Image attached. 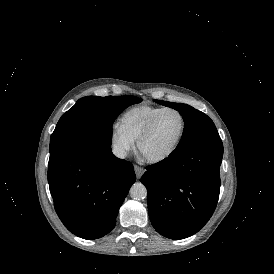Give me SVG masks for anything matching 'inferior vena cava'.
<instances>
[{
    "label": "inferior vena cava",
    "instance_id": "1",
    "mask_svg": "<svg viewBox=\"0 0 274 274\" xmlns=\"http://www.w3.org/2000/svg\"><path fill=\"white\" fill-rule=\"evenodd\" d=\"M113 153L115 154L116 157L121 158V159H123L127 156L126 150L120 146L114 147Z\"/></svg>",
    "mask_w": 274,
    "mask_h": 274
}]
</instances>
